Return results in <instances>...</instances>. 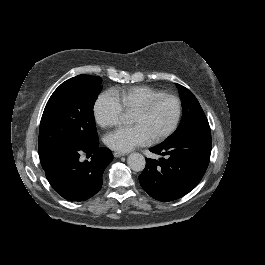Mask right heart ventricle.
Returning a JSON list of instances; mask_svg holds the SVG:
<instances>
[{"instance_id": "right-heart-ventricle-1", "label": "right heart ventricle", "mask_w": 265, "mask_h": 265, "mask_svg": "<svg viewBox=\"0 0 265 265\" xmlns=\"http://www.w3.org/2000/svg\"><path fill=\"white\" fill-rule=\"evenodd\" d=\"M157 93L160 91L147 85L130 86L112 92L125 112H135L146 99Z\"/></svg>"}]
</instances>
